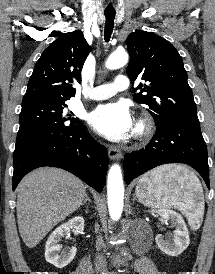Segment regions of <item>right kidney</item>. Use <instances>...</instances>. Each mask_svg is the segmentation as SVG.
<instances>
[{
    "mask_svg": "<svg viewBox=\"0 0 215 274\" xmlns=\"http://www.w3.org/2000/svg\"><path fill=\"white\" fill-rule=\"evenodd\" d=\"M70 228H74L79 232L84 230V219L81 216L74 217L70 219L67 223H64L57 227L49 236L46 247H45V259L50 264H53L57 268H64L67 266L75 257L77 249L76 247H71L68 251L62 252L61 245L59 242L61 239L67 235Z\"/></svg>",
    "mask_w": 215,
    "mask_h": 274,
    "instance_id": "ca27d5eb",
    "label": "right kidney"
}]
</instances>
